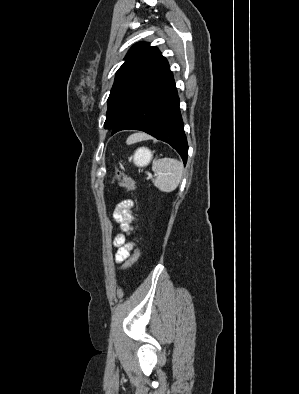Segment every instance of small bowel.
Listing matches in <instances>:
<instances>
[{
  "label": "small bowel",
  "instance_id": "small-bowel-1",
  "mask_svg": "<svg viewBox=\"0 0 299 394\" xmlns=\"http://www.w3.org/2000/svg\"><path fill=\"white\" fill-rule=\"evenodd\" d=\"M133 206L134 203L131 200H123L119 202L114 210L113 217L119 224L121 232L115 237L113 245L117 248L115 260L117 263L125 261L130 251L133 249V243H126L127 236L130 235L133 229Z\"/></svg>",
  "mask_w": 299,
  "mask_h": 394
}]
</instances>
